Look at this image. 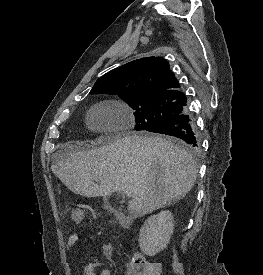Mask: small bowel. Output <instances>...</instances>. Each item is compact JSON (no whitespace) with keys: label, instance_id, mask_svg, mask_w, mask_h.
Listing matches in <instances>:
<instances>
[{"label":"small bowel","instance_id":"1","mask_svg":"<svg viewBox=\"0 0 263 275\" xmlns=\"http://www.w3.org/2000/svg\"><path fill=\"white\" fill-rule=\"evenodd\" d=\"M82 238V236L79 233H74L70 235L66 242V249L69 251L71 250L77 242ZM101 251L105 256H111L113 254V247L108 242H103L101 244ZM102 266V263L93 260L85 265L83 269V275H111V272L109 269H102L99 273L97 272V269ZM128 272L127 275H143L142 272L137 269L133 264H128Z\"/></svg>","mask_w":263,"mask_h":275}]
</instances>
